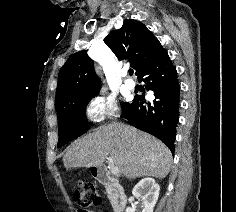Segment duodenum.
I'll return each mask as SVG.
<instances>
[{
    "mask_svg": "<svg viewBox=\"0 0 236 212\" xmlns=\"http://www.w3.org/2000/svg\"><path fill=\"white\" fill-rule=\"evenodd\" d=\"M93 174L110 192L114 212H123L126 205V194L120 183L109 173L106 167H97Z\"/></svg>",
    "mask_w": 236,
    "mask_h": 212,
    "instance_id": "1",
    "label": "duodenum"
}]
</instances>
